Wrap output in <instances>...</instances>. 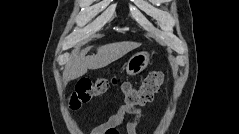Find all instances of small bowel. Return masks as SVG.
Segmentation results:
<instances>
[{
    "label": "small bowel",
    "instance_id": "small-bowel-1",
    "mask_svg": "<svg viewBox=\"0 0 239 134\" xmlns=\"http://www.w3.org/2000/svg\"><path fill=\"white\" fill-rule=\"evenodd\" d=\"M131 114L132 118L126 125L127 134H136V128L144 119V114L140 109L132 105H121L103 124L91 130V134H119L118 127L122 124L125 115Z\"/></svg>",
    "mask_w": 239,
    "mask_h": 134
}]
</instances>
